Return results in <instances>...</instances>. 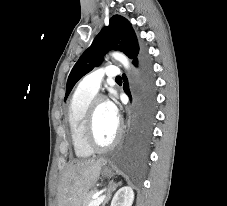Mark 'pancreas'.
<instances>
[{
  "instance_id": "obj_1",
  "label": "pancreas",
  "mask_w": 227,
  "mask_h": 206,
  "mask_svg": "<svg viewBox=\"0 0 227 206\" xmlns=\"http://www.w3.org/2000/svg\"><path fill=\"white\" fill-rule=\"evenodd\" d=\"M97 192V190H93L87 193L83 199L81 206H89V204L93 201L92 196Z\"/></svg>"
}]
</instances>
